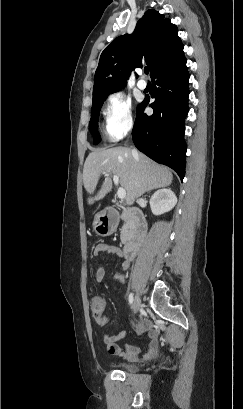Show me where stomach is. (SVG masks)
Wrapping results in <instances>:
<instances>
[{"label":"stomach","mask_w":243,"mask_h":409,"mask_svg":"<svg viewBox=\"0 0 243 409\" xmlns=\"http://www.w3.org/2000/svg\"><path fill=\"white\" fill-rule=\"evenodd\" d=\"M116 228V223L107 218L104 211L97 213L93 221V230L100 236L111 235Z\"/></svg>","instance_id":"stomach-1"}]
</instances>
